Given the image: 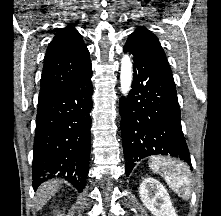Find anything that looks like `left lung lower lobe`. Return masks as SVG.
I'll return each instance as SVG.
<instances>
[{
	"label": "left lung lower lobe",
	"mask_w": 221,
	"mask_h": 216,
	"mask_svg": "<svg viewBox=\"0 0 221 216\" xmlns=\"http://www.w3.org/2000/svg\"><path fill=\"white\" fill-rule=\"evenodd\" d=\"M124 52H129L134 61L132 89L120 102L126 175L137 161L150 155H171L191 165L168 62L128 43Z\"/></svg>",
	"instance_id": "left-lung-lower-lobe-1"
}]
</instances>
